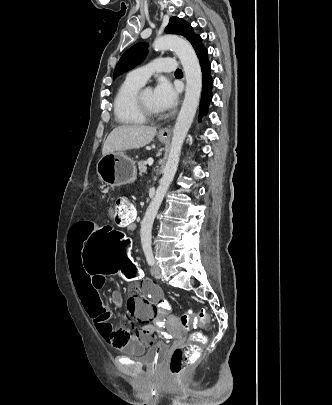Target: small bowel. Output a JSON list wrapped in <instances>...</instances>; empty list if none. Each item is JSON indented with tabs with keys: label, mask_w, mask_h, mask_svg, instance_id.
<instances>
[{
	"label": "small bowel",
	"mask_w": 332,
	"mask_h": 405,
	"mask_svg": "<svg viewBox=\"0 0 332 405\" xmlns=\"http://www.w3.org/2000/svg\"><path fill=\"white\" fill-rule=\"evenodd\" d=\"M111 215H116V210H111ZM89 221L76 222L69 233L67 243V260L69 270L81 300V303L92 319L102 339L115 349H122L123 353H146L147 349L157 347L158 340L153 332V311H158V299H162V288H150V280L143 278L137 284L138 289H133L132 296L126 302V311H131L139 320L141 328H134V333L128 328L116 329L110 323L112 310L104 304L99 291L104 287V275H90L83 262V250L86 241L90 240ZM117 224L126 227L127 222L117 221ZM128 240V239H127ZM129 256H131L129 241ZM134 262V261H133ZM110 301L114 308L121 305L122 299L118 292H113Z\"/></svg>",
	"instance_id": "1"
}]
</instances>
